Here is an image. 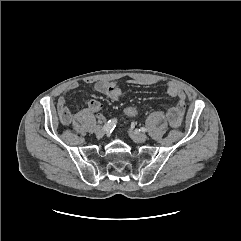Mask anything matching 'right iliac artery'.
<instances>
[{"instance_id":"obj_1","label":"right iliac artery","mask_w":241,"mask_h":241,"mask_svg":"<svg viewBox=\"0 0 241 241\" xmlns=\"http://www.w3.org/2000/svg\"><path fill=\"white\" fill-rule=\"evenodd\" d=\"M116 123V119H111L103 126V128L105 129V131H112L115 128Z\"/></svg>"}]
</instances>
